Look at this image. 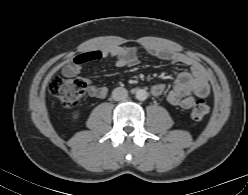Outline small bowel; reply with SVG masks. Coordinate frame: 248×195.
Returning <instances> with one entry per match:
<instances>
[{"label":"small bowel","mask_w":248,"mask_h":195,"mask_svg":"<svg viewBox=\"0 0 248 195\" xmlns=\"http://www.w3.org/2000/svg\"><path fill=\"white\" fill-rule=\"evenodd\" d=\"M144 51L157 58L170 61L172 64H185L190 67L189 72L178 74L173 89L168 93L167 100L173 106L190 109L196 98H205L210 93L208 78L203 67L196 61L173 51L157 46L147 45ZM111 59L118 67H131L137 63V50L125 47H110L92 50L77 57L73 63L64 66L62 72L65 76H74L81 72L82 65L89 61ZM89 95L96 98H105L108 90L104 86L93 83L90 78H84ZM163 83L152 86V94L160 96L164 92Z\"/></svg>","instance_id":"obj_1"}]
</instances>
